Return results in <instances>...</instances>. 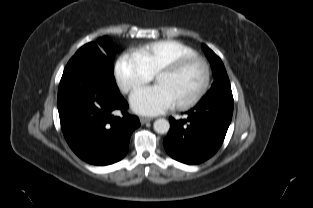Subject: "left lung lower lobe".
Instances as JSON below:
<instances>
[{
	"label": "left lung lower lobe",
	"instance_id": "1",
	"mask_svg": "<svg viewBox=\"0 0 313 208\" xmlns=\"http://www.w3.org/2000/svg\"><path fill=\"white\" fill-rule=\"evenodd\" d=\"M233 96L203 98L187 112V119L170 117V130L163 144L167 153L185 164H199L220 148L233 113Z\"/></svg>",
	"mask_w": 313,
	"mask_h": 208
}]
</instances>
